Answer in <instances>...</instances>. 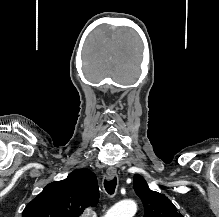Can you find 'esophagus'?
Listing matches in <instances>:
<instances>
[{
    "mask_svg": "<svg viewBox=\"0 0 219 217\" xmlns=\"http://www.w3.org/2000/svg\"><path fill=\"white\" fill-rule=\"evenodd\" d=\"M106 174L108 179H113L117 175V171L115 168H108Z\"/></svg>",
    "mask_w": 219,
    "mask_h": 217,
    "instance_id": "esophagus-1",
    "label": "esophagus"
}]
</instances>
